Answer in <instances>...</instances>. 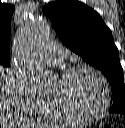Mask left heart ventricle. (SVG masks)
I'll list each match as a JSON object with an SVG mask.
<instances>
[{
  "mask_svg": "<svg viewBox=\"0 0 125 128\" xmlns=\"http://www.w3.org/2000/svg\"><path fill=\"white\" fill-rule=\"evenodd\" d=\"M70 112L88 114L102 104L103 91L98 78L89 72H78L67 78L58 77L49 92Z\"/></svg>",
  "mask_w": 125,
  "mask_h": 128,
  "instance_id": "left-heart-ventricle-1",
  "label": "left heart ventricle"
}]
</instances>
